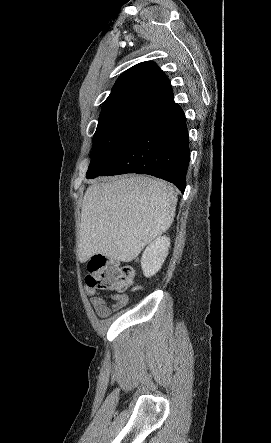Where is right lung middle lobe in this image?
I'll use <instances>...</instances> for the list:
<instances>
[{"label": "right lung middle lobe", "instance_id": "dd1d6c3e", "mask_svg": "<svg viewBox=\"0 0 271 443\" xmlns=\"http://www.w3.org/2000/svg\"><path fill=\"white\" fill-rule=\"evenodd\" d=\"M152 106L153 104L143 101H122L103 105L86 176L95 174L109 162L129 130Z\"/></svg>", "mask_w": 271, "mask_h": 443}]
</instances>
